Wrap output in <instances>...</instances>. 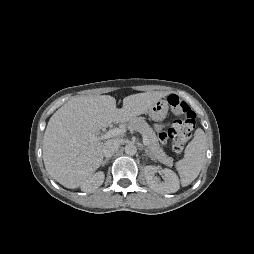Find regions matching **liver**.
I'll list each match as a JSON object with an SVG mask.
<instances>
[{
    "instance_id": "liver-1",
    "label": "liver",
    "mask_w": 254,
    "mask_h": 254,
    "mask_svg": "<svg viewBox=\"0 0 254 254\" xmlns=\"http://www.w3.org/2000/svg\"><path fill=\"white\" fill-rule=\"evenodd\" d=\"M167 92L127 96L121 109L110 95L80 96L69 100L50 118L43 139L47 172L67 188L82 186L100 167L104 143L91 136L111 123H125L146 113Z\"/></svg>"
}]
</instances>
